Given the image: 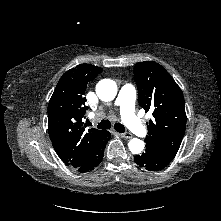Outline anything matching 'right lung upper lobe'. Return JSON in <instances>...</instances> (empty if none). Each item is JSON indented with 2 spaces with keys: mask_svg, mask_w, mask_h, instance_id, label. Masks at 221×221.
I'll return each instance as SVG.
<instances>
[{
  "mask_svg": "<svg viewBox=\"0 0 221 221\" xmlns=\"http://www.w3.org/2000/svg\"><path fill=\"white\" fill-rule=\"evenodd\" d=\"M102 72L100 67L80 64L60 78L48 105V132L60 159L74 168L92 154L104 130H85L82 121L88 106L87 84Z\"/></svg>",
  "mask_w": 221,
  "mask_h": 221,
  "instance_id": "1",
  "label": "right lung upper lobe"
}]
</instances>
